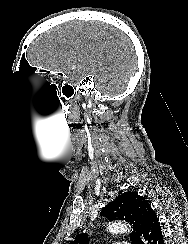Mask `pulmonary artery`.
I'll use <instances>...</instances> for the list:
<instances>
[{"instance_id": "e3ab8cb5", "label": "pulmonary artery", "mask_w": 188, "mask_h": 244, "mask_svg": "<svg viewBox=\"0 0 188 244\" xmlns=\"http://www.w3.org/2000/svg\"><path fill=\"white\" fill-rule=\"evenodd\" d=\"M114 244H129L127 242H115Z\"/></svg>"}]
</instances>
